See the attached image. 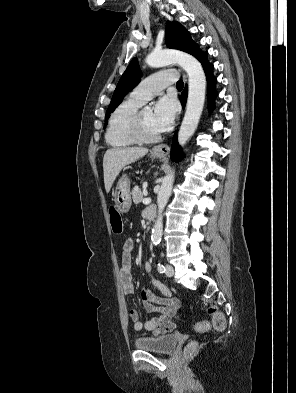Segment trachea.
Returning <instances> with one entry per match:
<instances>
[{"label": "trachea", "instance_id": "3493384b", "mask_svg": "<svg viewBox=\"0 0 296 393\" xmlns=\"http://www.w3.org/2000/svg\"><path fill=\"white\" fill-rule=\"evenodd\" d=\"M176 86H177L178 88L183 87V86H184L183 81H182V80H179V81L177 82Z\"/></svg>", "mask_w": 296, "mask_h": 393}]
</instances>
